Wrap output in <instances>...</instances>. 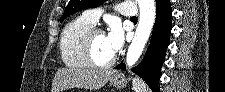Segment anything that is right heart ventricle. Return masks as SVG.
Here are the masks:
<instances>
[{
    "label": "right heart ventricle",
    "instance_id": "e07e8e85",
    "mask_svg": "<svg viewBox=\"0 0 225 92\" xmlns=\"http://www.w3.org/2000/svg\"><path fill=\"white\" fill-rule=\"evenodd\" d=\"M94 24L86 20L83 16L76 17L66 24L62 30L59 51L63 63L73 68L89 67L82 55L81 41Z\"/></svg>",
    "mask_w": 225,
    "mask_h": 92
}]
</instances>
